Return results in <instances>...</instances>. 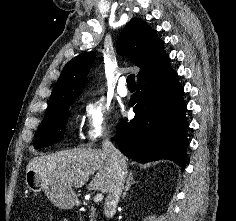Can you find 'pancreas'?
<instances>
[{"mask_svg": "<svg viewBox=\"0 0 236 221\" xmlns=\"http://www.w3.org/2000/svg\"><path fill=\"white\" fill-rule=\"evenodd\" d=\"M90 221H96V213L94 207L91 208V212L89 213Z\"/></svg>", "mask_w": 236, "mask_h": 221, "instance_id": "1", "label": "pancreas"}]
</instances>
